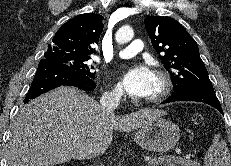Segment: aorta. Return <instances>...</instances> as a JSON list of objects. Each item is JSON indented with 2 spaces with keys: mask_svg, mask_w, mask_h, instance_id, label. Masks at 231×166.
I'll return each instance as SVG.
<instances>
[{
  "mask_svg": "<svg viewBox=\"0 0 231 166\" xmlns=\"http://www.w3.org/2000/svg\"><path fill=\"white\" fill-rule=\"evenodd\" d=\"M134 36V31L130 26L121 27L115 35V40L118 44L129 42Z\"/></svg>",
  "mask_w": 231,
  "mask_h": 166,
  "instance_id": "aorta-1",
  "label": "aorta"
}]
</instances>
